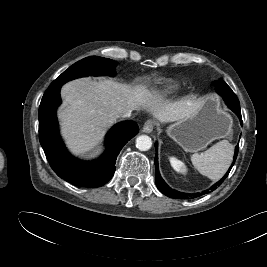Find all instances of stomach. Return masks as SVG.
Returning a JSON list of instances; mask_svg holds the SVG:
<instances>
[{
    "mask_svg": "<svg viewBox=\"0 0 267 267\" xmlns=\"http://www.w3.org/2000/svg\"><path fill=\"white\" fill-rule=\"evenodd\" d=\"M231 115L219 100L208 97L189 116L177 120L167 129V134L186 152H198L216 139L232 134Z\"/></svg>",
    "mask_w": 267,
    "mask_h": 267,
    "instance_id": "stomach-1",
    "label": "stomach"
}]
</instances>
